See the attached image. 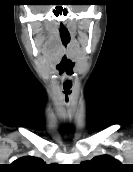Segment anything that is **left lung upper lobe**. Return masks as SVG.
Listing matches in <instances>:
<instances>
[{"label":"left lung upper lobe","mask_w":133,"mask_h":172,"mask_svg":"<svg viewBox=\"0 0 133 172\" xmlns=\"http://www.w3.org/2000/svg\"><path fill=\"white\" fill-rule=\"evenodd\" d=\"M90 172H112L121 166V163L108 155L94 157L91 161L82 162Z\"/></svg>","instance_id":"5c2ea615"}]
</instances>
